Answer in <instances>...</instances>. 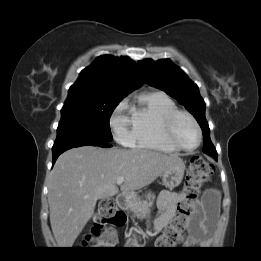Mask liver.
Segmentation results:
<instances>
[{
  "mask_svg": "<svg viewBox=\"0 0 261 261\" xmlns=\"http://www.w3.org/2000/svg\"><path fill=\"white\" fill-rule=\"evenodd\" d=\"M179 159L144 149L83 146L64 152L56 161L49 182L50 224L57 246L72 247L94 214L98 199L134 193L161 176Z\"/></svg>",
  "mask_w": 261,
  "mask_h": 261,
  "instance_id": "1",
  "label": "liver"
}]
</instances>
